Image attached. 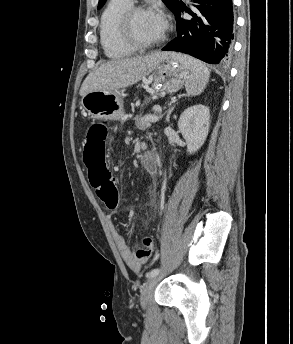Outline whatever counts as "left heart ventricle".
Wrapping results in <instances>:
<instances>
[{
    "mask_svg": "<svg viewBox=\"0 0 293 344\" xmlns=\"http://www.w3.org/2000/svg\"><path fill=\"white\" fill-rule=\"evenodd\" d=\"M132 31L139 40L145 42L158 40L163 35L150 11L138 13L134 17Z\"/></svg>",
    "mask_w": 293,
    "mask_h": 344,
    "instance_id": "obj_1",
    "label": "left heart ventricle"
}]
</instances>
